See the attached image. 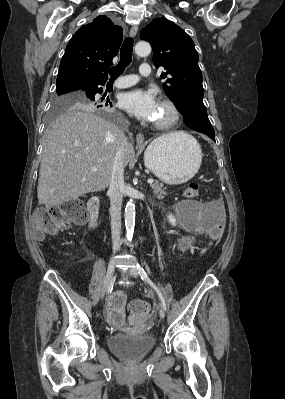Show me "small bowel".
<instances>
[{
    "label": "small bowel",
    "mask_w": 285,
    "mask_h": 399,
    "mask_svg": "<svg viewBox=\"0 0 285 399\" xmlns=\"http://www.w3.org/2000/svg\"><path fill=\"white\" fill-rule=\"evenodd\" d=\"M219 200H213L198 205L192 203L188 209L180 214V219H170L173 227H181L182 230L192 237L184 238L179 243V248L184 250L190 247L194 242V236L208 234L212 235L214 231L223 232V217L219 211ZM125 304L126 295L121 292H114L108 300L104 310L107 322L115 329L123 330L125 326ZM134 325H139L140 320H133Z\"/></svg>",
    "instance_id": "small-bowel-1"
}]
</instances>
